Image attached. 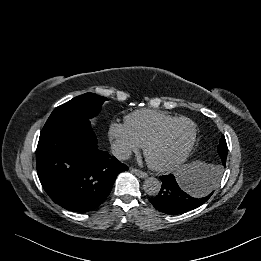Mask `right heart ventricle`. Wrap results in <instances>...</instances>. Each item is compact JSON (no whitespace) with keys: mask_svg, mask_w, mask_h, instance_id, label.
<instances>
[{"mask_svg":"<svg viewBox=\"0 0 261 261\" xmlns=\"http://www.w3.org/2000/svg\"><path fill=\"white\" fill-rule=\"evenodd\" d=\"M175 118V116L163 111L140 109L125 117V125L138 143L144 145L156 130Z\"/></svg>","mask_w":261,"mask_h":261,"instance_id":"obj_1","label":"right heart ventricle"}]
</instances>
